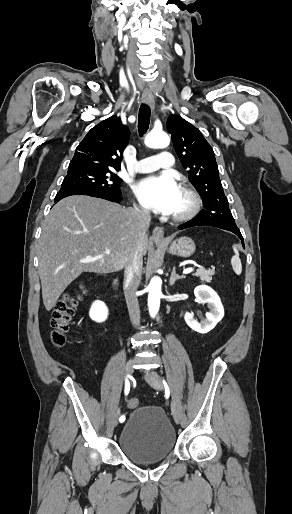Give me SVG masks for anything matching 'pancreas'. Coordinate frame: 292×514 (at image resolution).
<instances>
[{
	"label": "pancreas",
	"instance_id": "pancreas-1",
	"mask_svg": "<svg viewBox=\"0 0 292 514\" xmlns=\"http://www.w3.org/2000/svg\"><path fill=\"white\" fill-rule=\"evenodd\" d=\"M214 274V270H196V274H194V276L200 278L201 282H211Z\"/></svg>",
	"mask_w": 292,
	"mask_h": 514
}]
</instances>
